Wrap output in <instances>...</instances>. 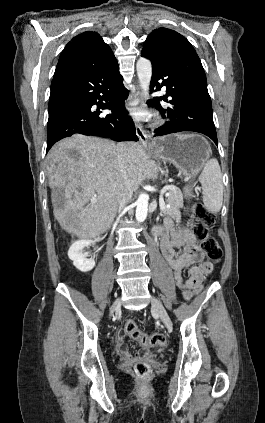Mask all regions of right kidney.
Here are the masks:
<instances>
[{
  "label": "right kidney",
  "instance_id": "right-kidney-1",
  "mask_svg": "<svg viewBox=\"0 0 265 423\" xmlns=\"http://www.w3.org/2000/svg\"><path fill=\"white\" fill-rule=\"evenodd\" d=\"M94 245L93 240L82 239L75 241L69 248L68 257L73 261V265L81 272H88L95 266L93 258L88 259L83 253L85 247Z\"/></svg>",
  "mask_w": 265,
  "mask_h": 423
}]
</instances>
